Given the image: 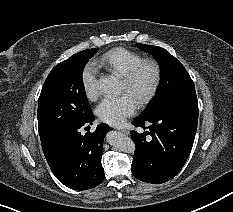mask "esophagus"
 I'll list each match as a JSON object with an SVG mask.
<instances>
[{
	"mask_svg": "<svg viewBox=\"0 0 233 212\" xmlns=\"http://www.w3.org/2000/svg\"><path fill=\"white\" fill-rule=\"evenodd\" d=\"M118 130L124 134H129V131L125 128H119Z\"/></svg>",
	"mask_w": 233,
	"mask_h": 212,
	"instance_id": "1",
	"label": "esophagus"
}]
</instances>
